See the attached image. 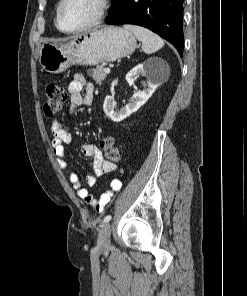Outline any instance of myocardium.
I'll list each match as a JSON object with an SVG mask.
<instances>
[{
	"instance_id": "1",
	"label": "myocardium",
	"mask_w": 247,
	"mask_h": 296,
	"mask_svg": "<svg viewBox=\"0 0 247 296\" xmlns=\"http://www.w3.org/2000/svg\"><path fill=\"white\" fill-rule=\"evenodd\" d=\"M66 1L67 0H60V2L58 3L57 9H56V17H55V25H56L57 29L60 32L65 33V34H79V33L85 32L87 30H90V29L96 27L97 25H99L103 21L105 15L107 13V10H108V0H96L97 13H96L95 17L89 23H87L86 25H84L80 28H77V29L65 30L60 25V12H61V9Z\"/></svg>"
}]
</instances>
